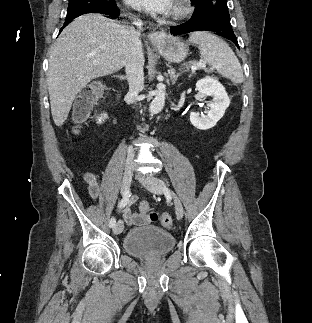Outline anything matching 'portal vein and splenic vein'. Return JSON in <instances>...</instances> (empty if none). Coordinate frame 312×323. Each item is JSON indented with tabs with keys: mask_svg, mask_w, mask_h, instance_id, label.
<instances>
[{
	"mask_svg": "<svg viewBox=\"0 0 312 323\" xmlns=\"http://www.w3.org/2000/svg\"><path fill=\"white\" fill-rule=\"evenodd\" d=\"M94 64H99V62H94ZM197 68H206L203 62H194V66H192L191 70H197Z\"/></svg>",
	"mask_w": 312,
	"mask_h": 323,
	"instance_id": "portal-vein-and-splenic-vein-1",
	"label": "portal vein and splenic vein"
}]
</instances>
